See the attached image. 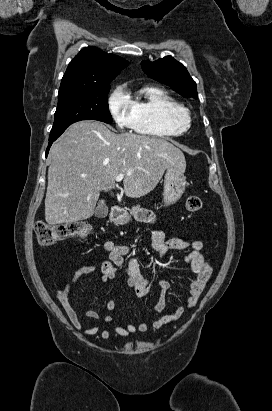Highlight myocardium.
<instances>
[{
    "label": "myocardium",
    "instance_id": "myocardium-1",
    "mask_svg": "<svg viewBox=\"0 0 272 411\" xmlns=\"http://www.w3.org/2000/svg\"><path fill=\"white\" fill-rule=\"evenodd\" d=\"M189 122H190V118H189V120H188V124H189Z\"/></svg>",
    "mask_w": 272,
    "mask_h": 411
}]
</instances>
